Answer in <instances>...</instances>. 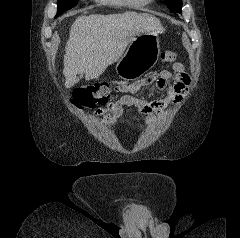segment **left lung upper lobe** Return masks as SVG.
I'll return each instance as SVG.
<instances>
[{
	"label": "left lung upper lobe",
	"mask_w": 240,
	"mask_h": 238,
	"mask_svg": "<svg viewBox=\"0 0 240 238\" xmlns=\"http://www.w3.org/2000/svg\"><path fill=\"white\" fill-rule=\"evenodd\" d=\"M165 3L172 12L181 13L182 0H165Z\"/></svg>",
	"instance_id": "left-lung-upper-lobe-1"
}]
</instances>
